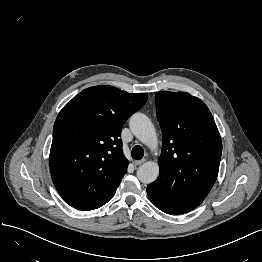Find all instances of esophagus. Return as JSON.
Instances as JSON below:
<instances>
[{"mask_svg":"<svg viewBox=\"0 0 262 262\" xmlns=\"http://www.w3.org/2000/svg\"><path fill=\"white\" fill-rule=\"evenodd\" d=\"M144 162H145V159L134 160V161H133V164H134L135 166H138V165L143 164Z\"/></svg>","mask_w":262,"mask_h":262,"instance_id":"34e87169","label":"esophagus"}]
</instances>
